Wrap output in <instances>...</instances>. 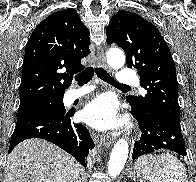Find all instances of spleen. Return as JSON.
<instances>
[{"instance_id":"spleen-1","label":"spleen","mask_w":196,"mask_h":182,"mask_svg":"<svg viewBox=\"0 0 196 182\" xmlns=\"http://www.w3.org/2000/svg\"><path fill=\"white\" fill-rule=\"evenodd\" d=\"M134 169L149 182H188L184 165L169 153L144 155L136 161Z\"/></svg>"}]
</instances>
